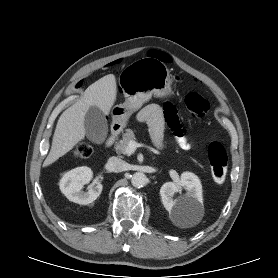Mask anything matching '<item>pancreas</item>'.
<instances>
[{
  "instance_id": "obj_1",
  "label": "pancreas",
  "mask_w": 278,
  "mask_h": 278,
  "mask_svg": "<svg viewBox=\"0 0 278 278\" xmlns=\"http://www.w3.org/2000/svg\"><path fill=\"white\" fill-rule=\"evenodd\" d=\"M131 140H136L135 133L131 129H126V132L122 136V140H120L115 146L116 150L120 153L127 154L126 148Z\"/></svg>"
}]
</instances>
